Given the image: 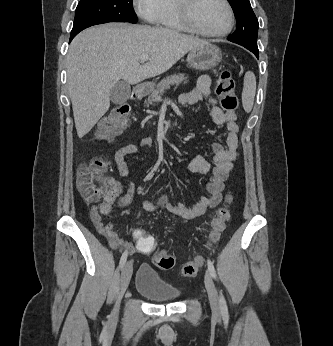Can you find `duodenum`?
<instances>
[{
  "label": "duodenum",
  "mask_w": 333,
  "mask_h": 346,
  "mask_svg": "<svg viewBox=\"0 0 333 346\" xmlns=\"http://www.w3.org/2000/svg\"><path fill=\"white\" fill-rule=\"evenodd\" d=\"M142 88H138L136 90V93H135V98L136 99H139L141 96H142V92H141Z\"/></svg>",
  "instance_id": "obj_1"
}]
</instances>
